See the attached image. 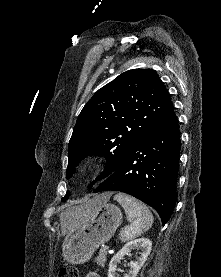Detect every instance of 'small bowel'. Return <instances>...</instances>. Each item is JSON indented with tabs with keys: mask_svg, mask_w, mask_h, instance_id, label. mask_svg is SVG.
Instances as JSON below:
<instances>
[{
	"mask_svg": "<svg viewBox=\"0 0 221 277\" xmlns=\"http://www.w3.org/2000/svg\"><path fill=\"white\" fill-rule=\"evenodd\" d=\"M85 277H100L99 274L95 273V272H90L88 274H86Z\"/></svg>",
	"mask_w": 221,
	"mask_h": 277,
	"instance_id": "c3829d8e",
	"label": "small bowel"
}]
</instances>
